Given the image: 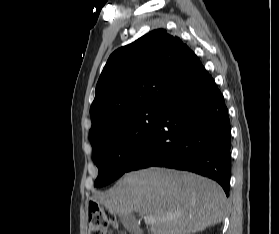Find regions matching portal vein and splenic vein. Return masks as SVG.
Listing matches in <instances>:
<instances>
[{
  "label": "portal vein and splenic vein",
  "mask_w": 279,
  "mask_h": 234,
  "mask_svg": "<svg viewBox=\"0 0 279 234\" xmlns=\"http://www.w3.org/2000/svg\"><path fill=\"white\" fill-rule=\"evenodd\" d=\"M155 222V219L152 216H145V223L152 224Z\"/></svg>",
  "instance_id": "18ae733b"
}]
</instances>
